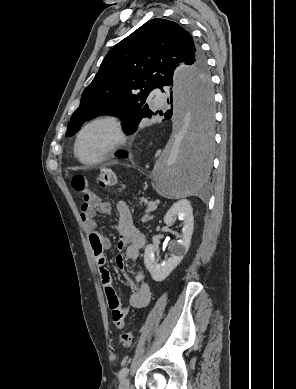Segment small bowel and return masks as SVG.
<instances>
[{"label":"small bowel","instance_id":"1","mask_svg":"<svg viewBox=\"0 0 296 389\" xmlns=\"http://www.w3.org/2000/svg\"><path fill=\"white\" fill-rule=\"evenodd\" d=\"M116 209L118 215L116 229L119 233L117 247L120 251H123V254L116 257L115 263L117 268L125 274L126 260H138L140 251L146 243V239L144 234L134 226L132 215L127 204L123 201H119ZM110 210L111 205L108 202L103 201L96 194L89 192L87 195H84L80 218L84 231L88 235L108 306L112 312V321L116 327L123 328L125 314L128 308L139 309L147 306L151 300V289L143 270L139 269L135 276V285L128 297V307L123 308L121 306L113 286L110 272L106 267L105 251L111 247V241L108 237L100 234L96 230V215L98 213H108ZM117 313L121 315V318L120 320L115 321L114 316Z\"/></svg>","mask_w":296,"mask_h":389}]
</instances>
